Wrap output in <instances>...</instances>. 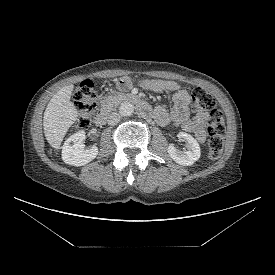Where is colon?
<instances>
[{"label":"colon","mask_w":275,"mask_h":275,"mask_svg":"<svg viewBox=\"0 0 275 275\" xmlns=\"http://www.w3.org/2000/svg\"><path fill=\"white\" fill-rule=\"evenodd\" d=\"M192 110L200 112L210 111L207 124L208 157L217 159L224 144L225 123L222 113L216 108L214 99L200 87L192 91ZM73 101L78 110V126L87 128L97 111V102L94 94V84L90 80L82 82L73 93Z\"/></svg>","instance_id":"5ec220e1"}]
</instances>
